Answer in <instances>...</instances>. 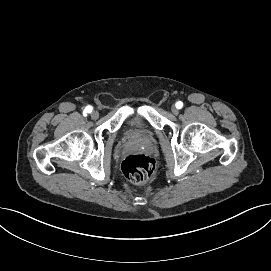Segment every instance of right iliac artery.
I'll list each match as a JSON object with an SVG mask.
<instances>
[{
    "label": "right iliac artery",
    "mask_w": 271,
    "mask_h": 271,
    "mask_svg": "<svg viewBox=\"0 0 271 271\" xmlns=\"http://www.w3.org/2000/svg\"><path fill=\"white\" fill-rule=\"evenodd\" d=\"M92 106H86L84 113H91L92 112Z\"/></svg>",
    "instance_id": "82829eb1"
}]
</instances>
